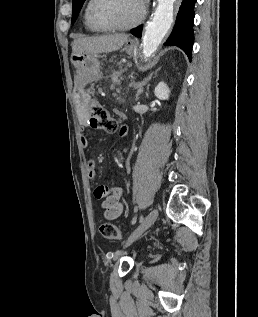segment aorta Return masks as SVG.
Segmentation results:
<instances>
[{
  "label": "aorta",
  "instance_id": "1",
  "mask_svg": "<svg viewBox=\"0 0 258 317\" xmlns=\"http://www.w3.org/2000/svg\"><path fill=\"white\" fill-rule=\"evenodd\" d=\"M176 0H157L154 15L147 22L142 38L143 54L150 57L161 44L173 22V7Z\"/></svg>",
  "mask_w": 258,
  "mask_h": 317
}]
</instances>
